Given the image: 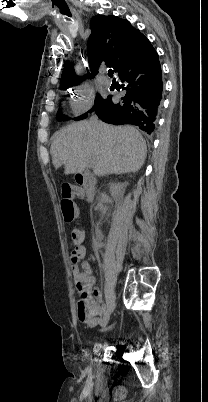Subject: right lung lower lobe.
I'll use <instances>...</instances> for the list:
<instances>
[{
    "label": "right lung lower lobe",
    "instance_id": "right-lung-lower-lobe-1",
    "mask_svg": "<svg viewBox=\"0 0 208 402\" xmlns=\"http://www.w3.org/2000/svg\"><path fill=\"white\" fill-rule=\"evenodd\" d=\"M117 74L126 82L125 96L95 112L103 122L133 124L151 134L160 110L163 81L158 54L143 34L120 59Z\"/></svg>",
    "mask_w": 208,
    "mask_h": 402
}]
</instances>
